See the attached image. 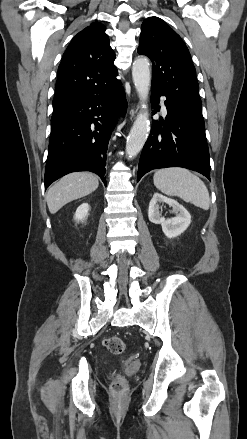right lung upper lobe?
I'll return each instance as SVG.
<instances>
[{"mask_svg": "<svg viewBox=\"0 0 247 439\" xmlns=\"http://www.w3.org/2000/svg\"><path fill=\"white\" fill-rule=\"evenodd\" d=\"M114 60L115 53L102 24L94 22L79 32L58 68L53 113L111 89L118 81Z\"/></svg>", "mask_w": 247, "mask_h": 439, "instance_id": "cb5924a9", "label": "right lung upper lobe"}]
</instances>
